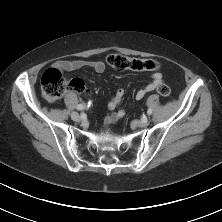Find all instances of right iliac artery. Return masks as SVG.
<instances>
[{"label":"right iliac artery","instance_id":"1","mask_svg":"<svg viewBox=\"0 0 222 222\" xmlns=\"http://www.w3.org/2000/svg\"><path fill=\"white\" fill-rule=\"evenodd\" d=\"M76 109L77 110H83V109H85V105L79 104V105L76 106Z\"/></svg>","mask_w":222,"mask_h":222}]
</instances>
